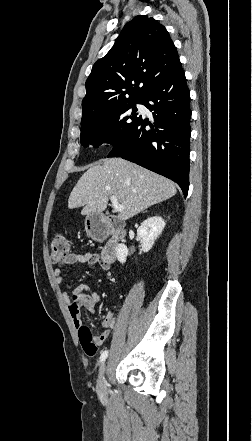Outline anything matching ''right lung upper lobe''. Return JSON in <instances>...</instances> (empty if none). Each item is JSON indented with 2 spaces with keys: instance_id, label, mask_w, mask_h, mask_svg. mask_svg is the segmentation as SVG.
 <instances>
[{
  "instance_id": "right-lung-upper-lobe-1",
  "label": "right lung upper lobe",
  "mask_w": 252,
  "mask_h": 441,
  "mask_svg": "<svg viewBox=\"0 0 252 441\" xmlns=\"http://www.w3.org/2000/svg\"><path fill=\"white\" fill-rule=\"evenodd\" d=\"M179 61L166 28L148 16L127 23L86 81L81 123L126 103L142 100ZM141 85V87H139Z\"/></svg>"
}]
</instances>
